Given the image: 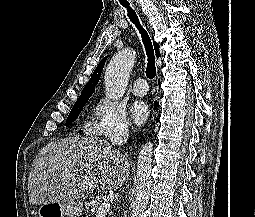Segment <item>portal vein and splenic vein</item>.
<instances>
[{"instance_id":"obj_1","label":"portal vein and splenic vein","mask_w":255,"mask_h":217,"mask_svg":"<svg viewBox=\"0 0 255 217\" xmlns=\"http://www.w3.org/2000/svg\"><path fill=\"white\" fill-rule=\"evenodd\" d=\"M109 209H110V204L108 202L101 203V205L99 206L97 210V216L106 214L107 212H109Z\"/></svg>"}]
</instances>
